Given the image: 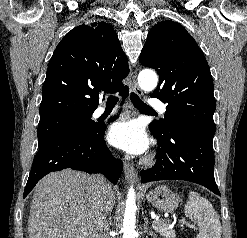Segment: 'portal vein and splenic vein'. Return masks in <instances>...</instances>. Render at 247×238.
<instances>
[{"label": "portal vein and splenic vein", "instance_id": "1", "mask_svg": "<svg viewBox=\"0 0 247 238\" xmlns=\"http://www.w3.org/2000/svg\"><path fill=\"white\" fill-rule=\"evenodd\" d=\"M156 222H157V221H153V223H156ZM153 223H152V224H153Z\"/></svg>", "mask_w": 247, "mask_h": 238}]
</instances>
